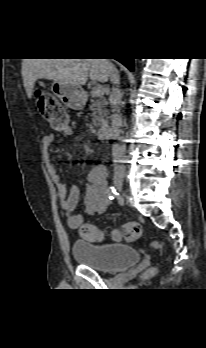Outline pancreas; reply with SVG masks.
<instances>
[{
  "mask_svg": "<svg viewBox=\"0 0 206 348\" xmlns=\"http://www.w3.org/2000/svg\"><path fill=\"white\" fill-rule=\"evenodd\" d=\"M94 98L97 96L93 95ZM105 99L101 96L96 99H91L90 110L93 115V125L95 127L103 126L108 122V110L106 108Z\"/></svg>",
  "mask_w": 206,
  "mask_h": 348,
  "instance_id": "cf45deb5",
  "label": "pancreas"
}]
</instances>
